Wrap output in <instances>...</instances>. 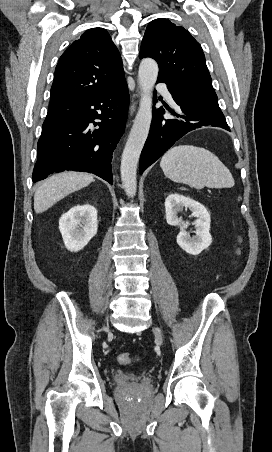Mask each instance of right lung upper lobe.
<instances>
[{"instance_id":"obj_1","label":"right lung upper lobe","mask_w":272,"mask_h":452,"mask_svg":"<svg viewBox=\"0 0 272 452\" xmlns=\"http://www.w3.org/2000/svg\"><path fill=\"white\" fill-rule=\"evenodd\" d=\"M123 80L121 56L110 35L103 28L89 29L62 54L56 66L48 112L70 109Z\"/></svg>"}]
</instances>
